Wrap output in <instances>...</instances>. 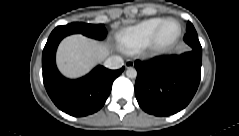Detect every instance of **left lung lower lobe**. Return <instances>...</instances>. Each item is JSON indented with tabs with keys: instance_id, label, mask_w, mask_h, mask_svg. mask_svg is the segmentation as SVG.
<instances>
[{
	"instance_id": "obj_1",
	"label": "left lung lower lobe",
	"mask_w": 239,
	"mask_h": 136,
	"mask_svg": "<svg viewBox=\"0 0 239 136\" xmlns=\"http://www.w3.org/2000/svg\"><path fill=\"white\" fill-rule=\"evenodd\" d=\"M202 52L190 50L150 62L135 61V95L149 114L168 116L185 108L197 91L201 78Z\"/></svg>"
}]
</instances>
